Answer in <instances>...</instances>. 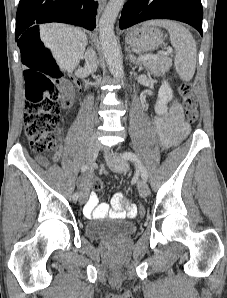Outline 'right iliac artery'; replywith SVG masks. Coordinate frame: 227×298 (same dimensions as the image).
<instances>
[{
	"mask_svg": "<svg viewBox=\"0 0 227 298\" xmlns=\"http://www.w3.org/2000/svg\"><path fill=\"white\" fill-rule=\"evenodd\" d=\"M87 169H88L87 164H84V165H82V167H81V172H86ZM72 198H73V200H77V199H78V193H77V192L74 193L73 196H72Z\"/></svg>",
	"mask_w": 227,
	"mask_h": 298,
	"instance_id": "obj_1",
	"label": "right iliac artery"
}]
</instances>
